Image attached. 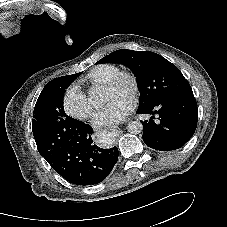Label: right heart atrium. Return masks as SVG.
Masks as SVG:
<instances>
[{
  "label": "right heart atrium",
  "instance_id": "1",
  "mask_svg": "<svg viewBox=\"0 0 227 227\" xmlns=\"http://www.w3.org/2000/svg\"><path fill=\"white\" fill-rule=\"evenodd\" d=\"M62 105L66 114L77 120L89 119L94 114V108L85 92L75 85H71L65 90Z\"/></svg>",
  "mask_w": 227,
  "mask_h": 227
}]
</instances>
